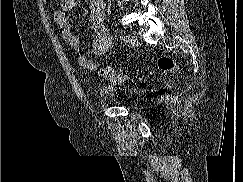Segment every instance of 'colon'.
Here are the masks:
<instances>
[{
    "mask_svg": "<svg viewBox=\"0 0 243 182\" xmlns=\"http://www.w3.org/2000/svg\"><path fill=\"white\" fill-rule=\"evenodd\" d=\"M158 67L164 72H172L177 69V63L168 56H162L158 59ZM100 76L106 80L120 81L125 77V72L120 69L104 67L99 72Z\"/></svg>",
    "mask_w": 243,
    "mask_h": 182,
    "instance_id": "colon-1",
    "label": "colon"
}]
</instances>
